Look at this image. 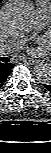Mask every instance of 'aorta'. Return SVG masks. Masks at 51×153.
<instances>
[{
  "label": "aorta",
  "instance_id": "762f6f07",
  "mask_svg": "<svg viewBox=\"0 0 51 153\" xmlns=\"http://www.w3.org/2000/svg\"><path fill=\"white\" fill-rule=\"evenodd\" d=\"M33 7L26 1H14L1 11L2 28L9 35H21L29 32L34 21ZM36 79L44 84L51 82V65L49 62H40L34 68Z\"/></svg>",
  "mask_w": 51,
  "mask_h": 153
}]
</instances>
